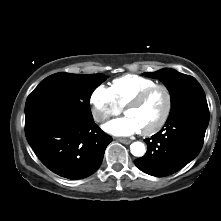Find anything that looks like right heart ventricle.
<instances>
[{
    "label": "right heart ventricle",
    "mask_w": 221,
    "mask_h": 221,
    "mask_svg": "<svg viewBox=\"0 0 221 221\" xmlns=\"http://www.w3.org/2000/svg\"><path fill=\"white\" fill-rule=\"evenodd\" d=\"M153 79L127 74L112 81L111 91L117 104L123 108L125 105L150 86L155 85Z\"/></svg>",
    "instance_id": "right-heart-ventricle-1"
}]
</instances>
